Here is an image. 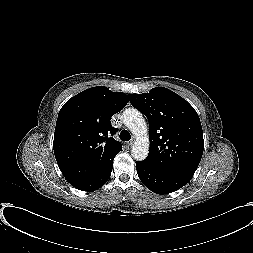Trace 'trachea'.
<instances>
[{"instance_id":"1","label":"trachea","mask_w":253,"mask_h":253,"mask_svg":"<svg viewBox=\"0 0 253 253\" xmlns=\"http://www.w3.org/2000/svg\"><path fill=\"white\" fill-rule=\"evenodd\" d=\"M120 139L123 141H129L131 139V135L127 130H122L120 133Z\"/></svg>"}]
</instances>
